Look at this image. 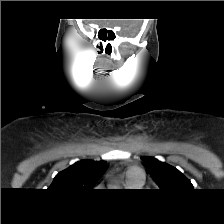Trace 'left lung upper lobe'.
<instances>
[{
    "mask_svg": "<svg viewBox=\"0 0 224 224\" xmlns=\"http://www.w3.org/2000/svg\"><path fill=\"white\" fill-rule=\"evenodd\" d=\"M142 160L145 163L146 169L161 190L167 192H181L193 189L190 180L175 167L160 162L153 157H142Z\"/></svg>",
    "mask_w": 224,
    "mask_h": 224,
    "instance_id": "5c2ea615",
    "label": "left lung upper lobe"
}]
</instances>
